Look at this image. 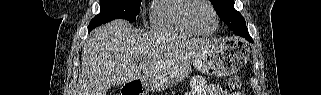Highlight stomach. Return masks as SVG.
Here are the masks:
<instances>
[{"instance_id": "0dacf381", "label": "stomach", "mask_w": 321, "mask_h": 95, "mask_svg": "<svg viewBox=\"0 0 321 95\" xmlns=\"http://www.w3.org/2000/svg\"><path fill=\"white\" fill-rule=\"evenodd\" d=\"M247 56L248 49L238 40L208 41L190 57V60L181 61L151 78L145 90H160L173 82L185 80L191 73L192 65L208 75L227 76L237 72L246 62Z\"/></svg>"}]
</instances>
